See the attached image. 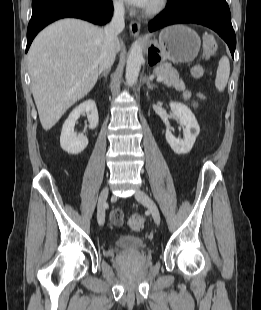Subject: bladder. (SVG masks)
Here are the masks:
<instances>
[{"mask_svg":"<svg viewBox=\"0 0 261 310\" xmlns=\"http://www.w3.org/2000/svg\"><path fill=\"white\" fill-rule=\"evenodd\" d=\"M115 249L125 253L141 252L147 248L145 240L137 235H124L116 240Z\"/></svg>","mask_w":261,"mask_h":310,"instance_id":"bladder-1","label":"bladder"}]
</instances>
